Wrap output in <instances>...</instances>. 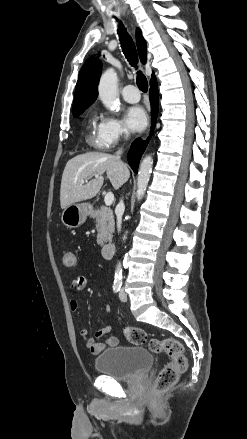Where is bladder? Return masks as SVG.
Masks as SVG:
<instances>
[{
  "mask_svg": "<svg viewBox=\"0 0 247 439\" xmlns=\"http://www.w3.org/2000/svg\"><path fill=\"white\" fill-rule=\"evenodd\" d=\"M153 357L142 347L116 346L101 352L94 360L97 372L120 381H132L146 373Z\"/></svg>",
  "mask_w": 247,
  "mask_h": 439,
  "instance_id": "bladder-1",
  "label": "bladder"
}]
</instances>
